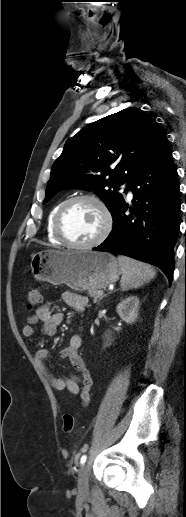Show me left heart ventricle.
<instances>
[{
	"mask_svg": "<svg viewBox=\"0 0 186 517\" xmlns=\"http://www.w3.org/2000/svg\"><path fill=\"white\" fill-rule=\"evenodd\" d=\"M103 226L99 208L90 201H79L65 213L62 229L76 243H87L98 236Z\"/></svg>",
	"mask_w": 186,
	"mask_h": 517,
	"instance_id": "b2bd125f",
	"label": "left heart ventricle"
}]
</instances>
